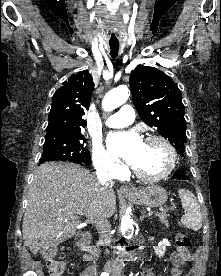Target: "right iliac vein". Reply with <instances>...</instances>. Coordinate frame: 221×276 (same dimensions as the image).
<instances>
[{"instance_id": "63e3f726", "label": "right iliac vein", "mask_w": 221, "mask_h": 276, "mask_svg": "<svg viewBox=\"0 0 221 276\" xmlns=\"http://www.w3.org/2000/svg\"><path fill=\"white\" fill-rule=\"evenodd\" d=\"M106 270H108V271H109L110 269H109V268H106Z\"/></svg>"}]
</instances>
